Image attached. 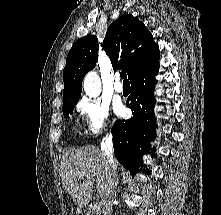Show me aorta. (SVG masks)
I'll use <instances>...</instances> for the list:
<instances>
[{
    "instance_id": "aorta-1",
    "label": "aorta",
    "mask_w": 221,
    "mask_h": 215,
    "mask_svg": "<svg viewBox=\"0 0 221 215\" xmlns=\"http://www.w3.org/2000/svg\"><path fill=\"white\" fill-rule=\"evenodd\" d=\"M83 89L89 97H97L101 92V83L95 72L86 75L83 81Z\"/></svg>"
}]
</instances>
